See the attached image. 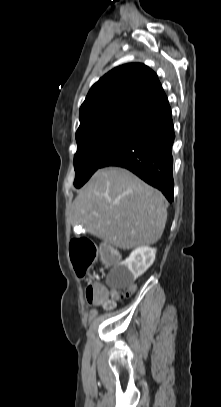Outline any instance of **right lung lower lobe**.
<instances>
[{
  "label": "right lung lower lobe",
  "instance_id": "obj_1",
  "mask_svg": "<svg viewBox=\"0 0 221 407\" xmlns=\"http://www.w3.org/2000/svg\"><path fill=\"white\" fill-rule=\"evenodd\" d=\"M175 134L169 104L143 120L101 167L119 166L159 189L173 200V157Z\"/></svg>",
  "mask_w": 221,
  "mask_h": 407
}]
</instances>
